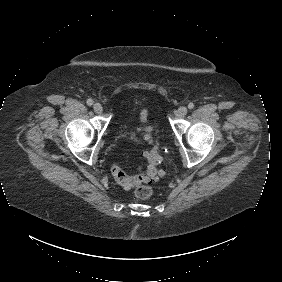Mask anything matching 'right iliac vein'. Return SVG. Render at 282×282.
I'll list each match as a JSON object with an SVG mask.
<instances>
[{
    "label": "right iliac vein",
    "instance_id": "obj_1",
    "mask_svg": "<svg viewBox=\"0 0 282 282\" xmlns=\"http://www.w3.org/2000/svg\"><path fill=\"white\" fill-rule=\"evenodd\" d=\"M93 109H94V111H95L97 114L102 113V110H103V108H102V106H101L100 103H95V104L93 105Z\"/></svg>",
    "mask_w": 282,
    "mask_h": 282
}]
</instances>
